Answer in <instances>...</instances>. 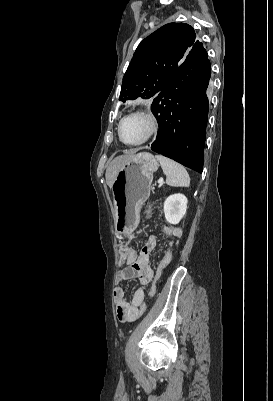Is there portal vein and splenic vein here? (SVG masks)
Returning <instances> with one entry per match:
<instances>
[{"label":"portal vein and splenic vein","mask_w":273,"mask_h":401,"mask_svg":"<svg viewBox=\"0 0 273 401\" xmlns=\"http://www.w3.org/2000/svg\"><path fill=\"white\" fill-rule=\"evenodd\" d=\"M163 180H164V178H159V180L157 181V184H158V185H161L162 182H163Z\"/></svg>","instance_id":"portal-vein-and-splenic-vein-1"}]
</instances>
